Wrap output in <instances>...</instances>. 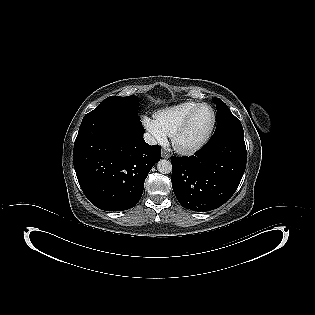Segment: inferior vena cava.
<instances>
[{"label":"inferior vena cava","mask_w":315,"mask_h":315,"mask_svg":"<svg viewBox=\"0 0 315 315\" xmlns=\"http://www.w3.org/2000/svg\"><path fill=\"white\" fill-rule=\"evenodd\" d=\"M144 139H145L146 143H148L149 145H156L157 144L156 139L149 133L144 134Z\"/></svg>","instance_id":"1"}]
</instances>
